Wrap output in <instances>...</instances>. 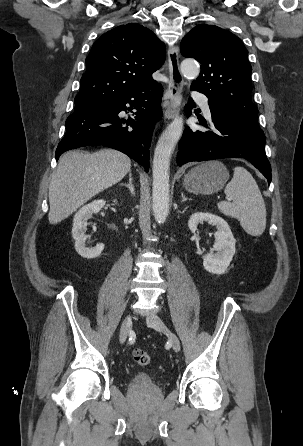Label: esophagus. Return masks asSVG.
Returning a JSON list of instances; mask_svg holds the SVG:
<instances>
[{"label":"esophagus","instance_id":"1","mask_svg":"<svg viewBox=\"0 0 303 446\" xmlns=\"http://www.w3.org/2000/svg\"><path fill=\"white\" fill-rule=\"evenodd\" d=\"M171 86L167 89V105L164 112L166 120L173 119L179 114L183 100V76L179 66L178 46H173L168 52Z\"/></svg>","mask_w":303,"mask_h":446}]
</instances>
